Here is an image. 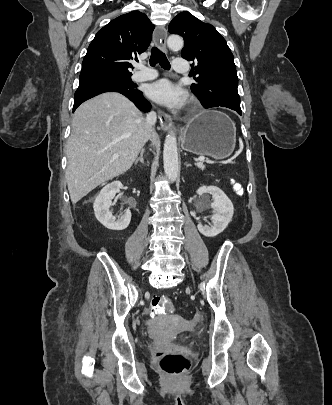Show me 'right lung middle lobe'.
<instances>
[{
	"label": "right lung middle lobe",
	"instance_id": "1",
	"mask_svg": "<svg viewBox=\"0 0 332 405\" xmlns=\"http://www.w3.org/2000/svg\"><path fill=\"white\" fill-rule=\"evenodd\" d=\"M96 84H113L127 89H133L135 87V84H133L131 80V76L107 73V74H93L80 76L78 88H83Z\"/></svg>",
	"mask_w": 332,
	"mask_h": 405
}]
</instances>
